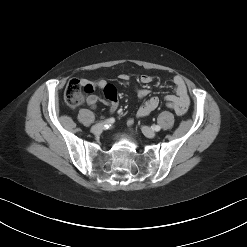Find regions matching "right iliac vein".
Instances as JSON below:
<instances>
[{
	"instance_id": "63e3f726",
	"label": "right iliac vein",
	"mask_w": 247,
	"mask_h": 247,
	"mask_svg": "<svg viewBox=\"0 0 247 247\" xmlns=\"http://www.w3.org/2000/svg\"><path fill=\"white\" fill-rule=\"evenodd\" d=\"M104 129V125L103 124H96L91 128L92 133L94 134H99L102 132V130Z\"/></svg>"
}]
</instances>
